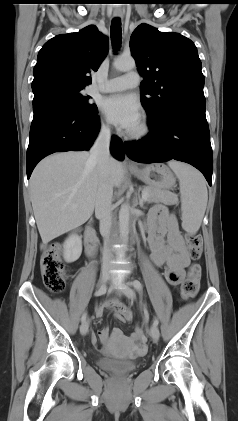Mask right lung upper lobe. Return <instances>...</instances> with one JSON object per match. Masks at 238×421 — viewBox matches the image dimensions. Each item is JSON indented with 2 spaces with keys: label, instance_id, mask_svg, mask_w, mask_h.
I'll use <instances>...</instances> for the list:
<instances>
[{
  "label": "right lung upper lobe",
  "instance_id": "obj_1",
  "mask_svg": "<svg viewBox=\"0 0 238 421\" xmlns=\"http://www.w3.org/2000/svg\"><path fill=\"white\" fill-rule=\"evenodd\" d=\"M107 52L108 39L94 25L55 36L38 53L32 86L59 82L85 87L92 82L89 74L97 71Z\"/></svg>",
  "mask_w": 238,
  "mask_h": 421
}]
</instances>
